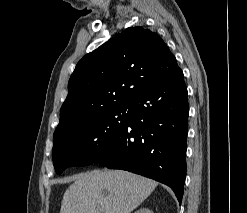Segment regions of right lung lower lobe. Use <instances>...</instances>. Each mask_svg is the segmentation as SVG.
<instances>
[{
	"label": "right lung lower lobe",
	"instance_id": "1",
	"mask_svg": "<svg viewBox=\"0 0 247 213\" xmlns=\"http://www.w3.org/2000/svg\"><path fill=\"white\" fill-rule=\"evenodd\" d=\"M131 115L96 162L168 185L181 203L186 177L187 88L180 68L130 100Z\"/></svg>",
	"mask_w": 247,
	"mask_h": 213
}]
</instances>
